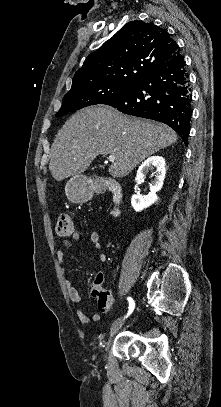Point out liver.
<instances>
[{
	"label": "liver",
	"mask_w": 221,
	"mask_h": 407,
	"mask_svg": "<svg viewBox=\"0 0 221 407\" xmlns=\"http://www.w3.org/2000/svg\"><path fill=\"white\" fill-rule=\"evenodd\" d=\"M167 125L129 117L105 105L73 114L51 146L49 170L56 181L77 176L98 155H114L109 167L114 178L128 175L145 158L177 141Z\"/></svg>",
	"instance_id": "6515ba94"
}]
</instances>
